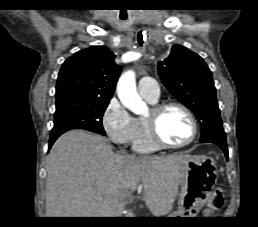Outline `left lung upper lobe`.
Wrapping results in <instances>:
<instances>
[{
	"instance_id": "obj_1",
	"label": "left lung upper lobe",
	"mask_w": 258,
	"mask_h": 227,
	"mask_svg": "<svg viewBox=\"0 0 258 227\" xmlns=\"http://www.w3.org/2000/svg\"><path fill=\"white\" fill-rule=\"evenodd\" d=\"M158 74L169 92L186 105L202 127L201 143L226 142L211 71L196 53L173 45L158 63Z\"/></svg>"
}]
</instances>
